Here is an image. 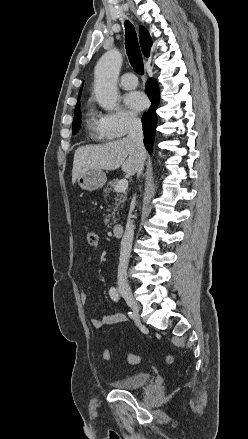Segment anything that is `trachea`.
<instances>
[{
  "label": "trachea",
  "instance_id": "obj_1",
  "mask_svg": "<svg viewBox=\"0 0 248 439\" xmlns=\"http://www.w3.org/2000/svg\"><path fill=\"white\" fill-rule=\"evenodd\" d=\"M125 47L129 61L134 70L140 75L144 74L143 59L138 44L137 34L134 26L129 21L125 22Z\"/></svg>",
  "mask_w": 248,
  "mask_h": 439
}]
</instances>
